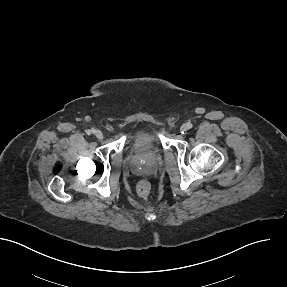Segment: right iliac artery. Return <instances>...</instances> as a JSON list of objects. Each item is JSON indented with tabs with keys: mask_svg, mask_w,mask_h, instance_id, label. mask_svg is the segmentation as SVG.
<instances>
[{
	"mask_svg": "<svg viewBox=\"0 0 287 287\" xmlns=\"http://www.w3.org/2000/svg\"><path fill=\"white\" fill-rule=\"evenodd\" d=\"M96 131L94 130V129H91V130H87L86 131V133L88 134V135H90V134H93V133H95Z\"/></svg>",
	"mask_w": 287,
	"mask_h": 287,
	"instance_id": "1",
	"label": "right iliac artery"
}]
</instances>
